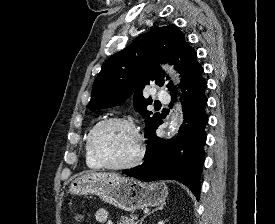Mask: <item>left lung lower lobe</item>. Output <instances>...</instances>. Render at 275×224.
<instances>
[{
  "mask_svg": "<svg viewBox=\"0 0 275 224\" xmlns=\"http://www.w3.org/2000/svg\"><path fill=\"white\" fill-rule=\"evenodd\" d=\"M203 68L195 72L182 85V106L184 122L179 134L167 141L159 138L155 131L162 119L151 128L145 137L147 149L142 165L126 170L124 174L144 180H177L189 187L194 195H200V174L205 161V125L208 116L205 112L207 98L204 89L207 82L202 78ZM174 91L171 92L173 100Z\"/></svg>",
  "mask_w": 275,
  "mask_h": 224,
  "instance_id": "obj_1",
  "label": "left lung lower lobe"
}]
</instances>
